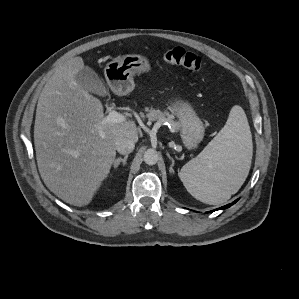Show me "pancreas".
I'll use <instances>...</instances> for the list:
<instances>
[{"label": "pancreas", "mask_w": 299, "mask_h": 299, "mask_svg": "<svg viewBox=\"0 0 299 299\" xmlns=\"http://www.w3.org/2000/svg\"><path fill=\"white\" fill-rule=\"evenodd\" d=\"M146 111H148L146 116L150 121H159L161 123L169 122L172 132H177L180 129V123L178 121H174V116L168 112H162L159 109L156 110L154 108H146Z\"/></svg>", "instance_id": "1"}]
</instances>
